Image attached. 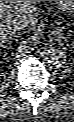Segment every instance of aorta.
<instances>
[{"label": "aorta", "instance_id": "1", "mask_svg": "<svg viewBox=\"0 0 74 122\" xmlns=\"http://www.w3.org/2000/svg\"><path fill=\"white\" fill-rule=\"evenodd\" d=\"M41 58L50 69H58L64 63V54L55 46H46L41 52Z\"/></svg>", "mask_w": 74, "mask_h": 122}]
</instances>
